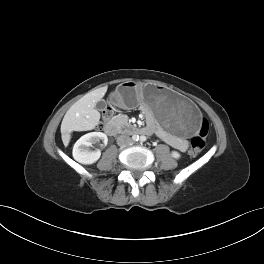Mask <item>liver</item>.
I'll return each instance as SVG.
<instances>
[{
    "label": "liver",
    "mask_w": 264,
    "mask_h": 264,
    "mask_svg": "<svg viewBox=\"0 0 264 264\" xmlns=\"http://www.w3.org/2000/svg\"><path fill=\"white\" fill-rule=\"evenodd\" d=\"M106 91L107 87L91 91L69 108L61 124L64 146H68L72 131L92 130L99 124L100 113L95 107L97 102L103 98Z\"/></svg>",
    "instance_id": "liver-1"
}]
</instances>
